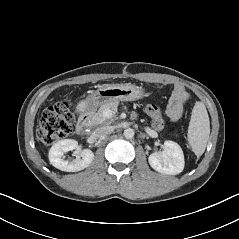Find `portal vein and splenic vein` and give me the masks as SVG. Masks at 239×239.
Wrapping results in <instances>:
<instances>
[{
    "instance_id": "18ae733b",
    "label": "portal vein and splenic vein",
    "mask_w": 239,
    "mask_h": 239,
    "mask_svg": "<svg viewBox=\"0 0 239 239\" xmlns=\"http://www.w3.org/2000/svg\"><path fill=\"white\" fill-rule=\"evenodd\" d=\"M111 115H112L111 110H105L104 113H103L104 118H110Z\"/></svg>"
}]
</instances>
